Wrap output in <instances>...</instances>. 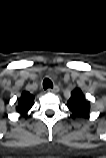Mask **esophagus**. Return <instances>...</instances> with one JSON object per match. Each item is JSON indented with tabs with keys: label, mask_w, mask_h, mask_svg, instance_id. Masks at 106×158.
<instances>
[{
	"label": "esophagus",
	"mask_w": 106,
	"mask_h": 158,
	"mask_svg": "<svg viewBox=\"0 0 106 158\" xmlns=\"http://www.w3.org/2000/svg\"><path fill=\"white\" fill-rule=\"evenodd\" d=\"M48 91L52 92V93H58L59 92V87L57 85H55L52 89L49 88Z\"/></svg>",
	"instance_id": "34e87169"
}]
</instances>
